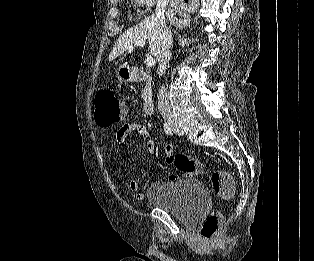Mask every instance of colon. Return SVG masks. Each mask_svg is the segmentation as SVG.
Wrapping results in <instances>:
<instances>
[{"instance_id": "5ec220e1", "label": "colon", "mask_w": 314, "mask_h": 261, "mask_svg": "<svg viewBox=\"0 0 314 261\" xmlns=\"http://www.w3.org/2000/svg\"><path fill=\"white\" fill-rule=\"evenodd\" d=\"M125 117V106L110 90H101L95 96V121L100 127H109L121 122ZM166 161L173 164L186 177H193L203 173L200 162L184 155H168ZM174 178V177H173ZM211 185L215 193L222 199H230L235 193V184L231 174L226 170H216L211 174ZM222 214L216 211L210 214L202 223L200 234L205 240L217 237Z\"/></svg>"}]
</instances>
